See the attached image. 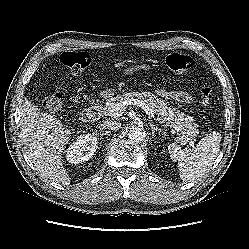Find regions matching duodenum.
Listing matches in <instances>:
<instances>
[{"label": "duodenum", "mask_w": 249, "mask_h": 249, "mask_svg": "<svg viewBox=\"0 0 249 249\" xmlns=\"http://www.w3.org/2000/svg\"><path fill=\"white\" fill-rule=\"evenodd\" d=\"M100 115V102H94L81 112V119L85 122H94Z\"/></svg>", "instance_id": "duodenum-1"}]
</instances>
